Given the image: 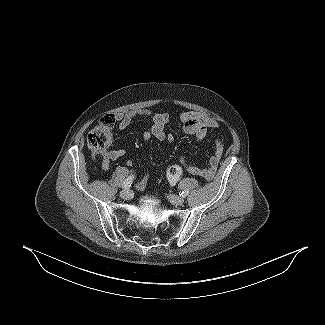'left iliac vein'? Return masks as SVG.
Wrapping results in <instances>:
<instances>
[{"label": "left iliac vein", "mask_w": 325, "mask_h": 325, "mask_svg": "<svg viewBox=\"0 0 325 325\" xmlns=\"http://www.w3.org/2000/svg\"><path fill=\"white\" fill-rule=\"evenodd\" d=\"M168 199L173 205H182L184 203V199L180 196L169 195Z\"/></svg>", "instance_id": "4c4485c4"}]
</instances>
